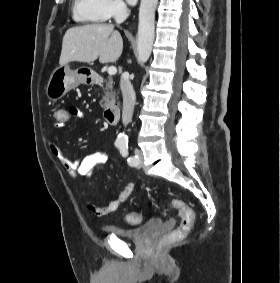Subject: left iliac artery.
Listing matches in <instances>:
<instances>
[{"label": "left iliac artery", "mask_w": 280, "mask_h": 283, "mask_svg": "<svg viewBox=\"0 0 280 283\" xmlns=\"http://www.w3.org/2000/svg\"><path fill=\"white\" fill-rule=\"evenodd\" d=\"M119 150L120 153L123 157H127L128 156V144H122L121 146H119ZM129 165L131 166H135L138 162V156H130L127 159Z\"/></svg>", "instance_id": "obj_1"}]
</instances>
